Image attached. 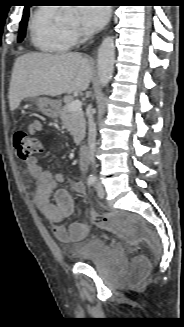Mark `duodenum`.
Masks as SVG:
<instances>
[{
  "label": "duodenum",
  "mask_w": 184,
  "mask_h": 327,
  "mask_svg": "<svg viewBox=\"0 0 184 327\" xmlns=\"http://www.w3.org/2000/svg\"><path fill=\"white\" fill-rule=\"evenodd\" d=\"M79 162L82 168L88 165V147L86 145H81L78 150Z\"/></svg>",
  "instance_id": "410a0bca"
}]
</instances>
